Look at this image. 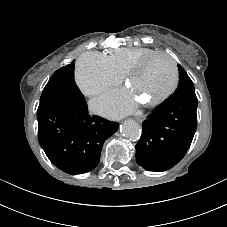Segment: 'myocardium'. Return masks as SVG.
Masks as SVG:
<instances>
[{"label": "myocardium", "mask_w": 227, "mask_h": 227, "mask_svg": "<svg viewBox=\"0 0 227 227\" xmlns=\"http://www.w3.org/2000/svg\"><path fill=\"white\" fill-rule=\"evenodd\" d=\"M156 57H165L171 62L173 67V81L171 86L168 88V90H166L163 94L159 95L154 99L143 102L145 106H149V107L162 103L163 101L168 99L177 89V86L179 83V68L175 59L166 52L156 51L141 58L137 63L132 65L124 75L125 82L130 83L133 76L136 73H138L140 70H142L152 59Z\"/></svg>", "instance_id": "myocardium-1"}]
</instances>
